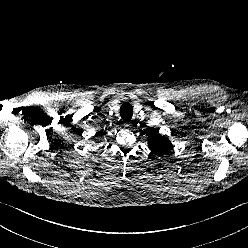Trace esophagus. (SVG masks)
<instances>
[{"label":"esophagus","instance_id":"1","mask_svg":"<svg viewBox=\"0 0 248 248\" xmlns=\"http://www.w3.org/2000/svg\"><path fill=\"white\" fill-rule=\"evenodd\" d=\"M124 127L127 129H130L131 128V122H129V121L125 122Z\"/></svg>","mask_w":248,"mask_h":248}]
</instances>
